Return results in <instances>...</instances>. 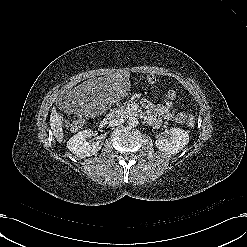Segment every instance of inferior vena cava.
Returning a JSON list of instances; mask_svg holds the SVG:
<instances>
[{
	"label": "inferior vena cava",
	"mask_w": 247,
	"mask_h": 247,
	"mask_svg": "<svg viewBox=\"0 0 247 247\" xmlns=\"http://www.w3.org/2000/svg\"><path fill=\"white\" fill-rule=\"evenodd\" d=\"M124 120L122 118H119V116L110 114L109 115V126L114 127L122 124Z\"/></svg>",
	"instance_id": "1"
}]
</instances>
